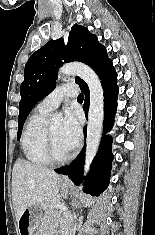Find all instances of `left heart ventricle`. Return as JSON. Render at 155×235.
Segmentation results:
<instances>
[{"mask_svg": "<svg viewBox=\"0 0 155 235\" xmlns=\"http://www.w3.org/2000/svg\"><path fill=\"white\" fill-rule=\"evenodd\" d=\"M52 138H53V143H54V148L56 153L59 156H64L70 152V150L65 146L61 139V123L57 122L54 124H51L49 126Z\"/></svg>", "mask_w": 155, "mask_h": 235, "instance_id": "left-heart-ventricle-1", "label": "left heart ventricle"}]
</instances>
